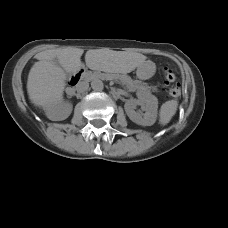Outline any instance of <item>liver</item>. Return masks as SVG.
I'll list each match as a JSON object with an SVG mask.
<instances>
[{
    "instance_id": "liver-1",
    "label": "liver",
    "mask_w": 228,
    "mask_h": 228,
    "mask_svg": "<svg viewBox=\"0 0 228 228\" xmlns=\"http://www.w3.org/2000/svg\"><path fill=\"white\" fill-rule=\"evenodd\" d=\"M83 53V49L67 47L36 54L34 58L38 61L31 66L26 83L29 101L47 112L59 107L67 89L68 74L76 75L83 68ZM146 59L142 54L122 51L93 49L86 53V65L108 76L125 75L145 63H151Z\"/></svg>"
}]
</instances>
